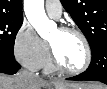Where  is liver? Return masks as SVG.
<instances>
[{
    "mask_svg": "<svg viewBox=\"0 0 107 89\" xmlns=\"http://www.w3.org/2000/svg\"><path fill=\"white\" fill-rule=\"evenodd\" d=\"M49 85L53 86H81L82 89H106V86L101 84H67L61 81H52L47 82L37 76L23 77L20 74H16L14 76H7L5 74L0 75V89H43L48 87Z\"/></svg>",
    "mask_w": 107,
    "mask_h": 89,
    "instance_id": "liver-1",
    "label": "liver"
}]
</instances>
